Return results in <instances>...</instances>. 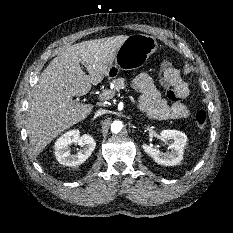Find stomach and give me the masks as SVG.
Segmentation results:
<instances>
[{
    "label": "stomach",
    "instance_id": "stomach-1",
    "mask_svg": "<svg viewBox=\"0 0 233 233\" xmlns=\"http://www.w3.org/2000/svg\"><path fill=\"white\" fill-rule=\"evenodd\" d=\"M158 47L153 36L145 34H131L118 49L115 57L114 68L131 70L142 66Z\"/></svg>",
    "mask_w": 233,
    "mask_h": 233
}]
</instances>
